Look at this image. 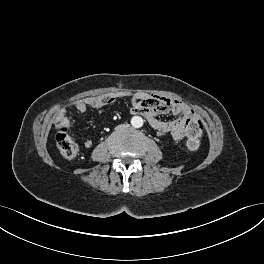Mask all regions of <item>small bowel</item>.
<instances>
[{
	"label": "small bowel",
	"mask_w": 264,
	"mask_h": 264,
	"mask_svg": "<svg viewBox=\"0 0 264 264\" xmlns=\"http://www.w3.org/2000/svg\"><path fill=\"white\" fill-rule=\"evenodd\" d=\"M125 97L131 98L132 113L143 115L158 135L169 134L175 140H180L185 136L188 120L197 118L195 112L187 104L179 100L142 91L136 93L122 91L88 97L74 102L71 107L80 113H86L89 109L98 110ZM167 113L177 115L178 118L169 121L157 118V115ZM56 122L58 127L67 126L68 117L66 109H61L57 113ZM83 144L86 148H90L93 142L87 139Z\"/></svg>",
	"instance_id": "1"
}]
</instances>
